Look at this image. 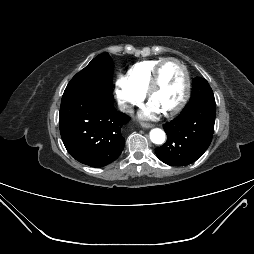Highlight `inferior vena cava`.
<instances>
[{
	"instance_id": "inferior-vena-cava-1",
	"label": "inferior vena cava",
	"mask_w": 254,
	"mask_h": 254,
	"mask_svg": "<svg viewBox=\"0 0 254 254\" xmlns=\"http://www.w3.org/2000/svg\"><path fill=\"white\" fill-rule=\"evenodd\" d=\"M118 107L121 111H125V109L127 108V105L123 102H119Z\"/></svg>"
}]
</instances>
